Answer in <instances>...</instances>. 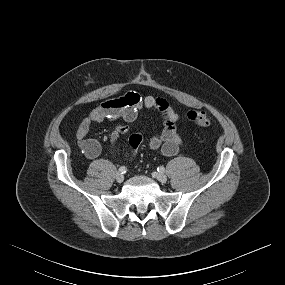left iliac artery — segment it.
<instances>
[{"mask_svg": "<svg viewBox=\"0 0 285 285\" xmlns=\"http://www.w3.org/2000/svg\"><path fill=\"white\" fill-rule=\"evenodd\" d=\"M157 171L160 172V173H164L165 172V168L163 166H159L157 168Z\"/></svg>", "mask_w": 285, "mask_h": 285, "instance_id": "left-iliac-artery-1", "label": "left iliac artery"}]
</instances>
